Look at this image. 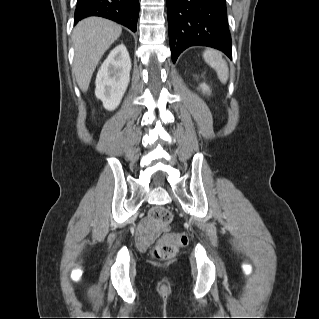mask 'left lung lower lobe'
Wrapping results in <instances>:
<instances>
[{
    "instance_id": "1",
    "label": "left lung lower lobe",
    "mask_w": 319,
    "mask_h": 319,
    "mask_svg": "<svg viewBox=\"0 0 319 319\" xmlns=\"http://www.w3.org/2000/svg\"><path fill=\"white\" fill-rule=\"evenodd\" d=\"M172 60L186 48L209 46L232 58L225 0H167Z\"/></svg>"
}]
</instances>
